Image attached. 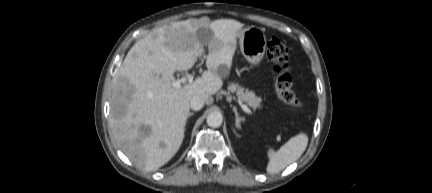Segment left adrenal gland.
<instances>
[{
    "instance_id": "left-adrenal-gland-1",
    "label": "left adrenal gland",
    "mask_w": 432,
    "mask_h": 193,
    "mask_svg": "<svg viewBox=\"0 0 432 193\" xmlns=\"http://www.w3.org/2000/svg\"><path fill=\"white\" fill-rule=\"evenodd\" d=\"M233 111H234L235 117H236V119H235V126H236L237 129H241V122L244 121V118H242V117H240L238 115L236 107H233Z\"/></svg>"
}]
</instances>
